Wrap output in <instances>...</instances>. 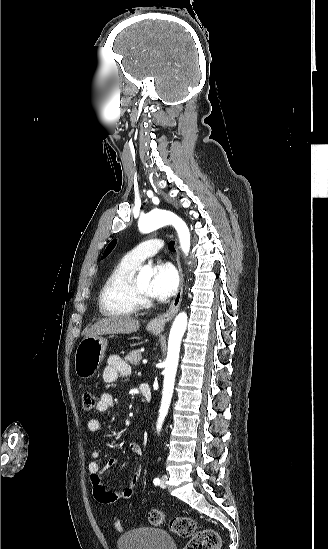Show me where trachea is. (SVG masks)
<instances>
[{
	"mask_svg": "<svg viewBox=\"0 0 328 549\" xmlns=\"http://www.w3.org/2000/svg\"><path fill=\"white\" fill-rule=\"evenodd\" d=\"M174 245H175L174 240H171V241L169 242V244H168V248H169L170 250H172V251H175Z\"/></svg>",
	"mask_w": 328,
	"mask_h": 549,
	"instance_id": "3493384b",
	"label": "trachea"
}]
</instances>
